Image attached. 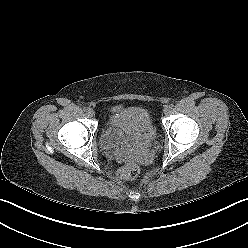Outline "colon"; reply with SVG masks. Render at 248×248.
Returning a JSON list of instances; mask_svg holds the SVG:
<instances>
[{
	"instance_id": "1",
	"label": "colon",
	"mask_w": 248,
	"mask_h": 248,
	"mask_svg": "<svg viewBox=\"0 0 248 248\" xmlns=\"http://www.w3.org/2000/svg\"><path fill=\"white\" fill-rule=\"evenodd\" d=\"M140 173V167L133 161L125 163L118 171V174L123 179H134Z\"/></svg>"
}]
</instances>
